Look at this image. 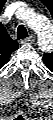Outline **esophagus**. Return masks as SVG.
Here are the masks:
<instances>
[{"label": "esophagus", "instance_id": "34e87169", "mask_svg": "<svg viewBox=\"0 0 53 120\" xmlns=\"http://www.w3.org/2000/svg\"><path fill=\"white\" fill-rule=\"evenodd\" d=\"M35 41V36L31 35L29 36L28 38L26 39H23L21 41L22 44H25V43H33Z\"/></svg>", "mask_w": 53, "mask_h": 120}]
</instances>
